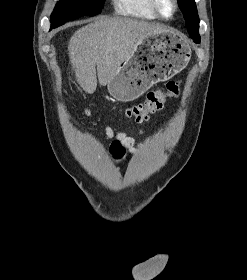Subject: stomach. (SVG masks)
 <instances>
[{
  "label": "stomach",
  "instance_id": "0dacf381",
  "mask_svg": "<svg viewBox=\"0 0 247 280\" xmlns=\"http://www.w3.org/2000/svg\"><path fill=\"white\" fill-rule=\"evenodd\" d=\"M190 55V46L176 33L149 35L116 69L107 85L108 91L118 101H133L155 83L166 81L184 69Z\"/></svg>",
  "mask_w": 247,
  "mask_h": 280
}]
</instances>
